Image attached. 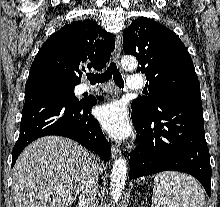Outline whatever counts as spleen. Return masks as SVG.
Masks as SVG:
<instances>
[{
	"label": "spleen",
	"mask_w": 220,
	"mask_h": 207,
	"mask_svg": "<svg viewBox=\"0 0 220 207\" xmlns=\"http://www.w3.org/2000/svg\"><path fill=\"white\" fill-rule=\"evenodd\" d=\"M153 205L155 207H205L201 185L191 176L168 171L154 179Z\"/></svg>",
	"instance_id": "spleen-1"
}]
</instances>
